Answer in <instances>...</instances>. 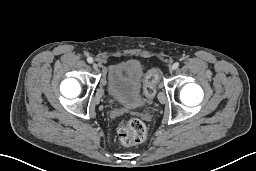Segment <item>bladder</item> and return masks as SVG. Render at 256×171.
Instances as JSON below:
<instances>
[{
  "mask_svg": "<svg viewBox=\"0 0 256 171\" xmlns=\"http://www.w3.org/2000/svg\"><path fill=\"white\" fill-rule=\"evenodd\" d=\"M110 96L127 108L144 104L142 97V67L137 61H126L110 67L107 77Z\"/></svg>",
  "mask_w": 256,
  "mask_h": 171,
  "instance_id": "1",
  "label": "bladder"
}]
</instances>
